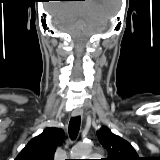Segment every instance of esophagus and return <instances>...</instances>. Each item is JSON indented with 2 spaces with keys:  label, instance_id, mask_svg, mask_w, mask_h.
<instances>
[{
  "label": "esophagus",
  "instance_id": "34e87169",
  "mask_svg": "<svg viewBox=\"0 0 160 160\" xmlns=\"http://www.w3.org/2000/svg\"><path fill=\"white\" fill-rule=\"evenodd\" d=\"M82 114H83V111L80 108H77V109L73 110V112H72L73 117H80V116H82Z\"/></svg>",
  "mask_w": 160,
  "mask_h": 160
}]
</instances>
